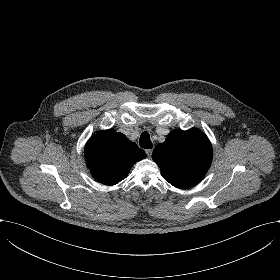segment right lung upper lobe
<instances>
[{
  "mask_svg": "<svg viewBox=\"0 0 280 280\" xmlns=\"http://www.w3.org/2000/svg\"><path fill=\"white\" fill-rule=\"evenodd\" d=\"M84 154L93 177L107 185L125 179L131 167L146 157L135 143L113 129L93 135L85 145Z\"/></svg>",
  "mask_w": 280,
  "mask_h": 280,
  "instance_id": "obj_1",
  "label": "right lung upper lobe"
}]
</instances>
